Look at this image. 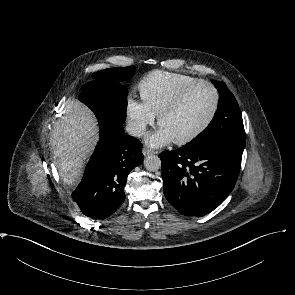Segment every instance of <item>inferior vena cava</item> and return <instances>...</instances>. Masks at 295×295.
Wrapping results in <instances>:
<instances>
[{
    "label": "inferior vena cava",
    "mask_w": 295,
    "mask_h": 295,
    "mask_svg": "<svg viewBox=\"0 0 295 295\" xmlns=\"http://www.w3.org/2000/svg\"><path fill=\"white\" fill-rule=\"evenodd\" d=\"M145 129V124L139 121H128L126 125V131L136 137L142 136Z\"/></svg>",
    "instance_id": "1"
}]
</instances>
